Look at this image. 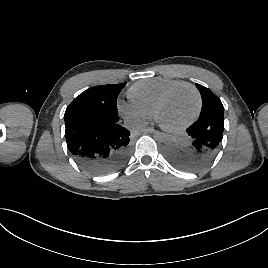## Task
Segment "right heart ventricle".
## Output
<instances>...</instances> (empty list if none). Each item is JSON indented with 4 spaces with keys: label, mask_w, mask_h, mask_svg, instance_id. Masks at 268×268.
<instances>
[{
    "label": "right heart ventricle",
    "mask_w": 268,
    "mask_h": 268,
    "mask_svg": "<svg viewBox=\"0 0 268 268\" xmlns=\"http://www.w3.org/2000/svg\"><path fill=\"white\" fill-rule=\"evenodd\" d=\"M182 82L178 79L164 77L140 80L130 87L128 96L132 103L153 114L154 107L159 98L169 88Z\"/></svg>",
    "instance_id": "right-heart-ventricle-1"
}]
</instances>
